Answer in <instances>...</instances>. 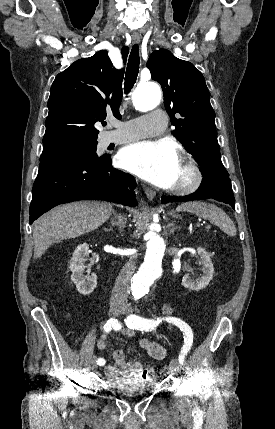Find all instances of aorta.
Masks as SVG:
<instances>
[{
  "instance_id": "1",
  "label": "aorta",
  "mask_w": 275,
  "mask_h": 429,
  "mask_svg": "<svg viewBox=\"0 0 275 429\" xmlns=\"http://www.w3.org/2000/svg\"><path fill=\"white\" fill-rule=\"evenodd\" d=\"M160 100V88L151 82L138 85L133 94L134 106L139 111L154 109ZM145 237L147 238V250L144 262L132 281V291L135 297H141L146 294L149 287L162 273L161 265L166 249L165 241L154 231L153 225L150 226Z\"/></svg>"
}]
</instances>
